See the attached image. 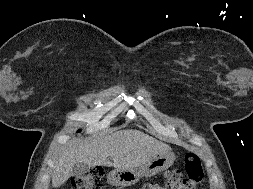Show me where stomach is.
I'll list each match as a JSON object with an SVG mask.
<instances>
[{"instance_id":"obj_1","label":"stomach","mask_w":253,"mask_h":189,"mask_svg":"<svg viewBox=\"0 0 253 189\" xmlns=\"http://www.w3.org/2000/svg\"><path fill=\"white\" fill-rule=\"evenodd\" d=\"M175 155L169 151L160 153L141 166L129 169H115L108 174V182L115 186L128 187L136 184L142 176L151 177L173 165Z\"/></svg>"}]
</instances>
